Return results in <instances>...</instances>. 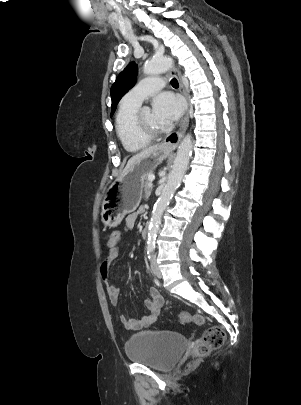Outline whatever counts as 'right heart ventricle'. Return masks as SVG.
Returning <instances> with one entry per match:
<instances>
[{
    "instance_id": "1",
    "label": "right heart ventricle",
    "mask_w": 301,
    "mask_h": 405,
    "mask_svg": "<svg viewBox=\"0 0 301 405\" xmlns=\"http://www.w3.org/2000/svg\"><path fill=\"white\" fill-rule=\"evenodd\" d=\"M139 106L121 103L116 117L115 128L123 147L130 153H135L146 147L150 140L136 134L133 127L134 117Z\"/></svg>"
}]
</instances>
